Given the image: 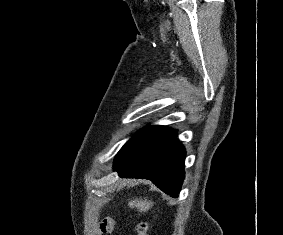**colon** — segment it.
<instances>
[{"label": "colon", "instance_id": "5ec220e1", "mask_svg": "<svg viewBox=\"0 0 283 235\" xmlns=\"http://www.w3.org/2000/svg\"><path fill=\"white\" fill-rule=\"evenodd\" d=\"M149 224L146 221H141L136 227L137 235H148Z\"/></svg>", "mask_w": 283, "mask_h": 235}]
</instances>
